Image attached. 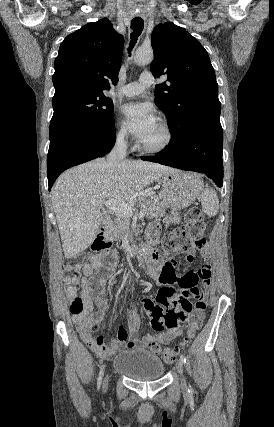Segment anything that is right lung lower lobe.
<instances>
[{
    "instance_id": "obj_1",
    "label": "right lung lower lobe",
    "mask_w": 274,
    "mask_h": 427,
    "mask_svg": "<svg viewBox=\"0 0 274 427\" xmlns=\"http://www.w3.org/2000/svg\"><path fill=\"white\" fill-rule=\"evenodd\" d=\"M115 143V125L78 126L63 129L50 141L47 157L49 190L66 169L102 157Z\"/></svg>"
}]
</instances>
